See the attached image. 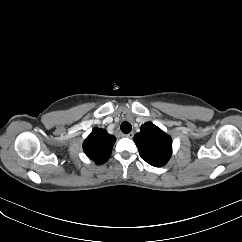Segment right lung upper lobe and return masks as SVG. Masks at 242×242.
<instances>
[{
	"instance_id": "cb5924a9",
	"label": "right lung upper lobe",
	"mask_w": 242,
	"mask_h": 242,
	"mask_svg": "<svg viewBox=\"0 0 242 242\" xmlns=\"http://www.w3.org/2000/svg\"><path fill=\"white\" fill-rule=\"evenodd\" d=\"M116 138L106 130L94 128L83 143L85 154L97 165L105 163L112 151Z\"/></svg>"
}]
</instances>
